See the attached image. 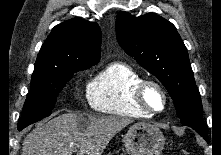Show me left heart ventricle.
Listing matches in <instances>:
<instances>
[{"mask_svg":"<svg viewBox=\"0 0 221 155\" xmlns=\"http://www.w3.org/2000/svg\"><path fill=\"white\" fill-rule=\"evenodd\" d=\"M146 101L150 107L159 110L163 106V98L160 92L154 87H148L146 90Z\"/></svg>","mask_w":221,"mask_h":155,"instance_id":"b2bd125f","label":"left heart ventricle"}]
</instances>
